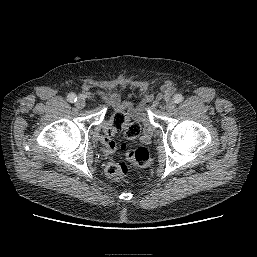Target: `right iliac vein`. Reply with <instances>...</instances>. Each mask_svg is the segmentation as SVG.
Segmentation results:
<instances>
[{
	"instance_id": "1",
	"label": "right iliac vein",
	"mask_w": 257,
	"mask_h": 257,
	"mask_svg": "<svg viewBox=\"0 0 257 257\" xmlns=\"http://www.w3.org/2000/svg\"><path fill=\"white\" fill-rule=\"evenodd\" d=\"M85 100L83 98H78L75 105L78 109H83L85 107Z\"/></svg>"
}]
</instances>
